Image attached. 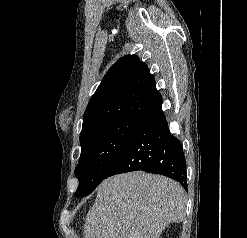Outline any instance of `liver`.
<instances>
[{
  "label": "liver",
  "instance_id": "obj_1",
  "mask_svg": "<svg viewBox=\"0 0 247 238\" xmlns=\"http://www.w3.org/2000/svg\"><path fill=\"white\" fill-rule=\"evenodd\" d=\"M183 187L144 172L105 179L84 225V238H160L171 223L184 220Z\"/></svg>",
  "mask_w": 247,
  "mask_h": 238
}]
</instances>
